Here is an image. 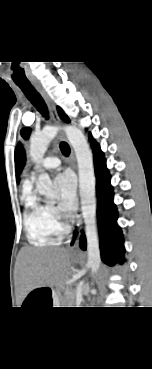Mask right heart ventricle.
<instances>
[{
    "label": "right heart ventricle",
    "instance_id": "1",
    "mask_svg": "<svg viewBox=\"0 0 152 369\" xmlns=\"http://www.w3.org/2000/svg\"><path fill=\"white\" fill-rule=\"evenodd\" d=\"M23 201L24 227L30 243L35 246L54 244L62 234L63 229L53 221L50 206L40 203L31 191L24 193Z\"/></svg>",
    "mask_w": 152,
    "mask_h": 369
}]
</instances>
